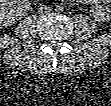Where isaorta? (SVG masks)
Listing matches in <instances>:
<instances>
[{"label": "aorta", "instance_id": "1", "mask_svg": "<svg viewBox=\"0 0 111 106\" xmlns=\"http://www.w3.org/2000/svg\"><path fill=\"white\" fill-rule=\"evenodd\" d=\"M56 9H57V10H62V7H61L60 5H57V6H56Z\"/></svg>", "mask_w": 111, "mask_h": 106}]
</instances>
